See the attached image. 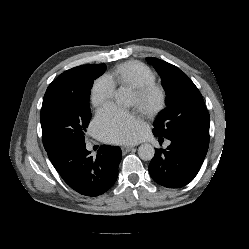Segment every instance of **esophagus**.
Wrapping results in <instances>:
<instances>
[{
    "label": "esophagus",
    "mask_w": 249,
    "mask_h": 249,
    "mask_svg": "<svg viewBox=\"0 0 249 249\" xmlns=\"http://www.w3.org/2000/svg\"><path fill=\"white\" fill-rule=\"evenodd\" d=\"M132 149H133L132 146H122V147H121V150H122V152H123L124 154L130 152Z\"/></svg>",
    "instance_id": "obj_1"
}]
</instances>
